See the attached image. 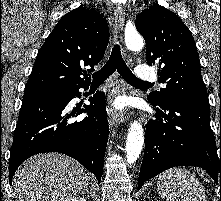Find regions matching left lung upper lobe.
<instances>
[{
    "label": "left lung upper lobe",
    "instance_id": "obj_1",
    "mask_svg": "<svg viewBox=\"0 0 221 201\" xmlns=\"http://www.w3.org/2000/svg\"><path fill=\"white\" fill-rule=\"evenodd\" d=\"M135 26L145 39L148 65H159V81L166 84L150 97L159 104L208 103L196 44L182 20L158 5L142 11Z\"/></svg>",
    "mask_w": 221,
    "mask_h": 201
}]
</instances>
